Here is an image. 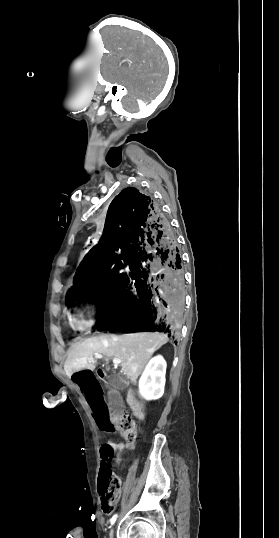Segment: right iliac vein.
Listing matches in <instances>:
<instances>
[{"mask_svg": "<svg viewBox=\"0 0 279 538\" xmlns=\"http://www.w3.org/2000/svg\"><path fill=\"white\" fill-rule=\"evenodd\" d=\"M113 535H114V528L112 527L110 530V538H113Z\"/></svg>", "mask_w": 279, "mask_h": 538, "instance_id": "1", "label": "right iliac vein"}]
</instances>
